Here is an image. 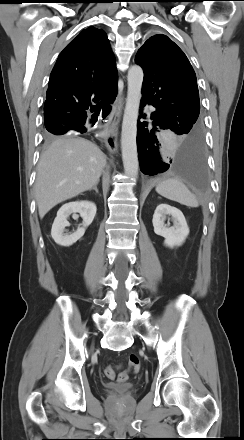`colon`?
Here are the masks:
<instances>
[{
    "label": "colon",
    "instance_id": "5ec220e1",
    "mask_svg": "<svg viewBox=\"0 0 244 440\" xmlns=\"http://www.w3.org/2000/svg\"><path fill=\"white\" fill-rule=\"evenodd\" d=\"M129 365L134 369V371H139L140 369V359L136 354H131L129 357ZM104 373L108 379H115L116 372L114 367L108 366L105 368ZM128 380V373L122 372L117 376V381L119 383H124Z\"/></svg>",
    "mask_w": 244,
    "mask_h": 440
}]
</instances>
